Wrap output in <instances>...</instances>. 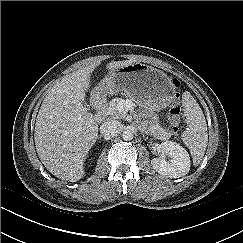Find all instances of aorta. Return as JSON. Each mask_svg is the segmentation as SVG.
<instances>
[{"label": "aorta", "instance_id": "762f6f07", "mask_svg": "<svg viewBox=\"0 0 243 243\" xmlns=\"http://www.w3.org/2000/svg\"><path fill=\"white\" fill-rule=\"evenodd\" d=\"M122 137L125 141H130L133 139V132L129 129H126L123 131Z\"/></svg>", "mask_w": 243, "mask_h": 243}]
</instances>
